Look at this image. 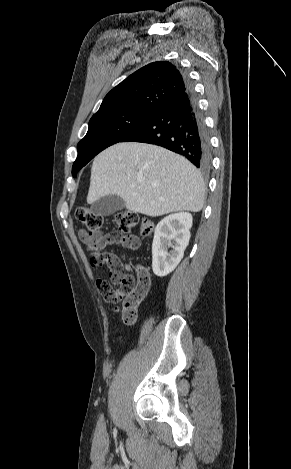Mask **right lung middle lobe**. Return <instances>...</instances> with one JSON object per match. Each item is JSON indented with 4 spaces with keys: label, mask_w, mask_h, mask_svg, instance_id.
I'll return each instance as SVG.
<instances>
[{
    "label": "right lung middle lobe",
    "mask_w": 291,
    "mask_h": 469,
    "mask_svg": "<svg viewBox=\"0 0 291 469\" xmlns=\"http://www.w3.org/2000/svg\"><path fill=\"white\" fill-rule=\"evenodd\" d=\"M150 110L131 109L119 113L91 118L86 136L78 143V156L72 174L85 166L105 148L120 142L140 127L153 113Z\"/></svg>",
    "instance_id": "1"
}]
</instances>
